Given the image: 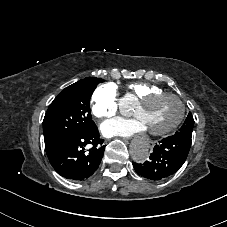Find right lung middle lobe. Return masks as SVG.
Listing matches in <instances>:
<instances>
[{
  "instance_id": "dd1d6c3e",
  "label": "right lung middle lobe",
  "mask_w": 227,
  "mask_h": 227,
  "mask_svg": "<svg viewBox=\"0 0 227 227\" xmlns=\"http://www.w3.org/2000/svg\"><path fill=\"white\" fill-rule=\"evenodd\" d=\"M103 80L87 77L66 87L49 105L43 120L45 145L59 137L94 126L90 98Z\"/></svg>"
}]
</instances>
